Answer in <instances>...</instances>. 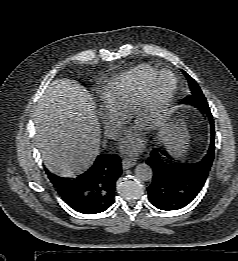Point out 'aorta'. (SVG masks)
<instances>
[{
	"label": "aorta",
	"instance_id": "obj_1",
	"mask_svg": "<svg viewBox=\"0 0 238 261\" xmlns=\"http://www.w3.org/2000/svg\"><path fill=\"white\" fill-rule=\"evenodd\" d=\"M135 176L140 181H150L153 177L152 168L146 163L138 164L135 168Z\"/></svg>",
	"mask_w": 238,
	"mask_h": 261
}]
</instances>
